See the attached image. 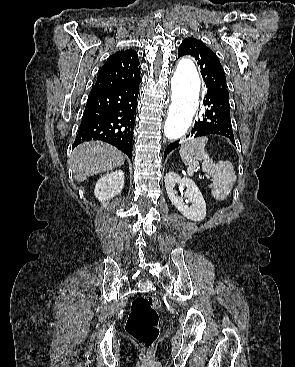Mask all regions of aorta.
<instances>
[{"label": "aorta", "instance_id": "obj_1", "mask_svg": "<svg viewBox=\"0 0 295 367\" xmlns=\"http://www.w3.org/2000/svg\"><path fill=\"white\" fill-rule=\"evenodd\" d=\"M171 105L164 124V134L170 140L183 137L192 124L199 104L200 77L194 62L183 58L171 79Z\"/></svg>", "mask_w": 295, "mask_h": 367}]
</instances>
